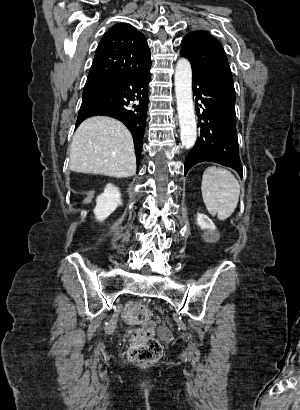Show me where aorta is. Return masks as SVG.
<instances>
[{"mask_svg":"<svg viewBox=\"0 0 300 410\" xmlns=\"http://www.w3.org/2000/svg\"><path fill=\"white\" fill-rule=\"evenodd\" d=\"M175 92L181 142L184 147L191 148L196 142L197 125L192 98V69L185 58L179 59L176 64Z\"/></svg>","mask_w":300,"mask_h":410,"instance_id":"762f6f07","label":"aorta"}]
</instances>
